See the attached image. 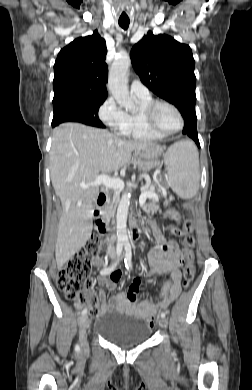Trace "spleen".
Instances as JSON below:
<instances>
[{"instance_id": "spleen-1", "label": "spleen", "mask_w": 252, "mask_h": 390, "mask_svg": "<svg viewBox=\"0 0 252 390\" xmlns=\"http://www.w3.org/2000/svg\"><path fill=\"white\" fill-rule=\"evenodd\" d=\"M164 162L168 184L183 199L193 198L199 188V155L190 141L173 144L167 151Z\"/></svg>"}]
</instances>
